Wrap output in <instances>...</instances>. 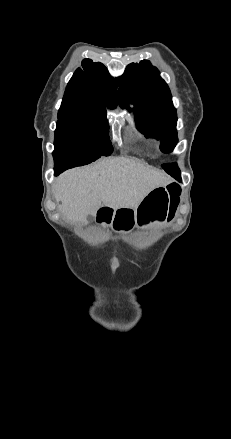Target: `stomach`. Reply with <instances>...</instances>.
Segmentation results:
<instances>
[{"mask_svg":"<svg viewBox=\"0 0 231 439\" xmlns=\"http://www.w3.org/2000/svg\"><path fill=\"white\" fill-rule=\"evenodd\" d=\"M169 209L170 200L166 187L154 188L136 208L115 210L114 229L118 232H128L137 226L162 223L168 218ZM121 210H126L127 213L124 214Z\"/></svg>","mask_w":231,"mask_h":439,"instance_id":"obj_1","label":"stomach"}]
</instances>
